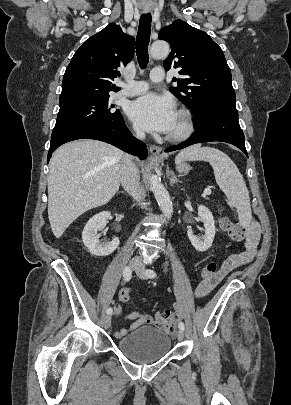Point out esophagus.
Returning <instances> with one entry per match:
<instances>
[{
	"mask_svg": "<svg viewBox=\"0 0 291 405\" xmlns=\"http://www.w3.org/2000/svg\"><path fill=\"white\" fill-rule=\"evenodd\" d=\"M161 150H162L161 147L157 146V145H151L150 149H149L152 157L155 158V159L159 158Z\"/></svg>",
	"mask_w": 291,
	"mask_h": 405,
	"instance_id": "obj_1",
	"label": "esophagus"
}]
</instances>
